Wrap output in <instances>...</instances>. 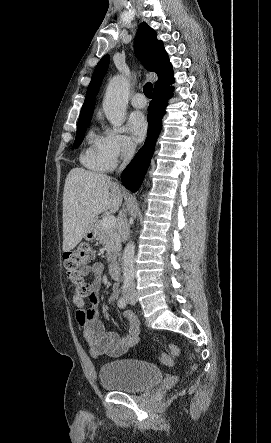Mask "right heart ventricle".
I'll return each mask as SVG.
<instances>
[{
	"instance_id": "obj_1",
	"label": "right heart ventricle",
	"mask_w": 271,
	"mask_h": 443,
	"mask_svg": "<svg viewBox=\"0 0 271 443\" xmlns=\"http://www.w3.org/2000/svg\"><path fill=\"white\" fill-rule=\"evenodd\" d=\"M81 163L96 171L110 170L114 164L106 157L103 150V137L90 130L86 137V145L80 155Z\"/></svg>"
}]
</instances>
